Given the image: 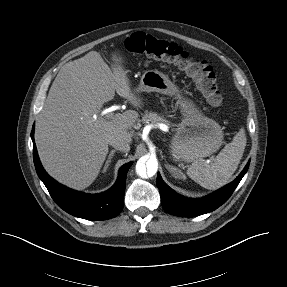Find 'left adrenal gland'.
Instances as JSON below:
<instances>
[{
  "label": "left adrenal gland",
  "instance_id": "left-adrenal-gland-1",
  "mask_svg": "<svg viewBox=\"0 0 287 287\" xmlns=\"http://www.w3.org/2000/svg\"><path fill=\"white\" fill-rule=\"evenodd\" d=\"M166 169L175 177V178H183L185 175L176 167H173L169 164L165 165Z\"/></svg>",
  "mask_w": 287,
  "mask_h": 287
}]
</instances>
